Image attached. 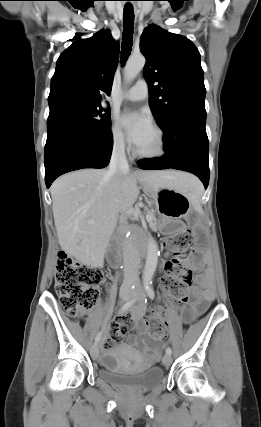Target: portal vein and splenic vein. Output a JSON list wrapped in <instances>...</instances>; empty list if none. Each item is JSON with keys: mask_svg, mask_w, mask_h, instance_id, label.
<instances>
[{"mask_svg": "<svg viewBox=\"0 0 261 427\" xmlns=\"http://www.w3.org/2000/svg\"><path fill=\"white\" fill-rule=\"evenodd\" d=\"M126 213H127V214H132V215H134V216L138 217V216H139V214L141 213V211H140L139 209L128 208V209L126 210ZM146 218H147V219H149V217H148L147 215H146ZM89 223H90V224H94V221H89Z\"/></svg>", "mask_w": 261, "mask_h": 427, "instance_id": "18ae733b", "label": "portal vein and splenic vein"}]
</instances>
